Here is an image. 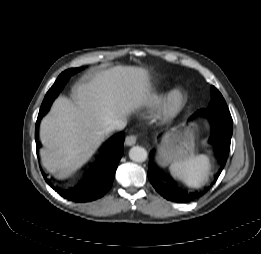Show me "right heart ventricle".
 Returning <instances> with one entry per match:
<instances>
[{
  "instance_id": "1",
  "label": "right heart ventricle",
  "mask_w": 261,
  "mask_h": 254,
  "mask_svg": "<svg viewBox=\"0 0 261 254\" xmlns=\"http://www.w3.org/2000/svg\"><path fill=\"white\" fill-rule=\"evenodd\" d=\"M165 90L164 89H157L153 91L150 95V99L152 102H158L161 97L163 96Z\"/></svg>"
}]
</instances>
